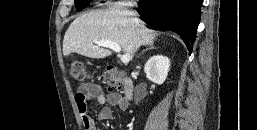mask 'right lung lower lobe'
Here are the masks:
<instances>
[{
  "label": "right lung lower lobe",
  "mask_w": 257,
  "mask_h": 130,
  "mask_svg": "<svg viewBox=\"0 0 257 130\" xmlns=\"http://www.w3.org/2000/svg\"><path fill=\"white\" fill-rule=\"evenodd\" d=\"M201 4L202 0H147L139 3L137 11L148 28L177 33L191 53Z\"/></svg>",
  "instance_id": "right-lung-lower-lobe-1"
}]
</instances>
